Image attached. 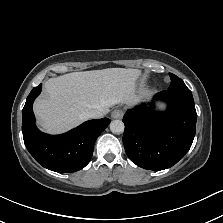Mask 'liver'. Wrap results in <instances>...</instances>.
<instances>
[{
  "mask_svg": "<svg viewBox=\"0 0 223 223\" xmlns=\"http://www.w3.org/2000/svg\"><path fill=\"white\" fill-rule=\"evenodd\" d=\"M142 74L140 69L106 68L49 78L44 82L46 95L33 103L39 130L64 134L87 121L91 110L107 114L109 107L119 103L135 108L147 102L144 92L138 91Z\"/></svg>",
  "mask_w": 223,
  "mask_h": 223,
  "instance_id": "6515ba94",
  "label": "liver"
}]
</instances>
